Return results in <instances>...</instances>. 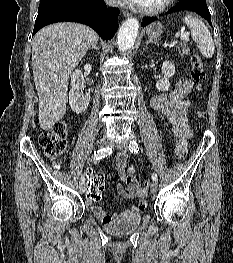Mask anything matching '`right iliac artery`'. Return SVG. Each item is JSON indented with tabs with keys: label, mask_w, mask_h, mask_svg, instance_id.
Returning a JSON list of instances; mask_svg holds the SVG:
<instances>
[{
	"label": "right iliac artery",
	"mask_w": 233,
	"mask_h": 263,
	"mask_svg": "<svg viewBox=\"0 0 233 263\" xmlns=\"http://www.w3.org/2000/svg\"><path fill=\"white\" fill-rule=\"evenodd\" d=\"M112 152H113V149L111 147L102 148L94 152L93 158L96 160H99V159L109 156L110 154H112ZM80 182L81 183L85 182L84 176H81Z\"/></svg>",
	"instance_id": "1"
}]
</instances>
